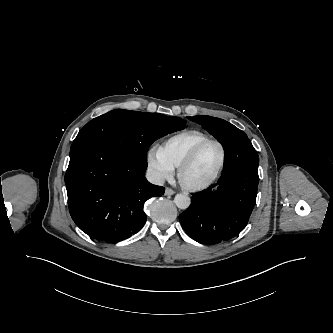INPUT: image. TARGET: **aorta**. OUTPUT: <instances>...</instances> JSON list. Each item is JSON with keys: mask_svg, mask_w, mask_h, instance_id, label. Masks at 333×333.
<instances>
[{"mask_svg": "<svg viewBox=\"0 0 333 333\" xmlns=\"http://www.w3.org/2000/svg\"><path fill=\"white\" fill-rule=\"evenodd\" d=\"M174 202L179 209H187L191 204V199L185 194H177Z\"/></svg>", "mask_w": 333, "mask_h": 333, "instance_id": "762f6f07", "label": "aorta"}]
</instances>
